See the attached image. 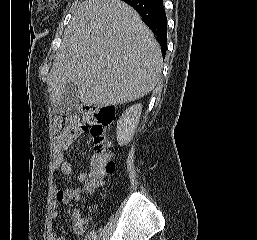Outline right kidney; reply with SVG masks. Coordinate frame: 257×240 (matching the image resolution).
I'll return each mask as SVG.
<instances>
[{"label":"right kidney","mask_w":257,"mask_h":240,"mask_svg":"<svg viewBox=\"0 0 257 240\" xmlns=\"http://www.w3.org/2000/svg\"><path fill=\"white\" fill-rule=\"evenodd\" d=\"M142 112V104H136L128 108L117 123V142L120 146L127 145L138 126Z\"/></svg>","instance_id":"1"}]
</instances>
